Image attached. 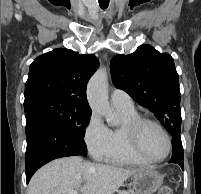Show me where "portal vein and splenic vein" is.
Returning <instances> with one entry per match:
<instances>
[{"label":"portal vein and splenic vein","mask_w":201,"mask_h":194,"mask_svg":"<svg viewBox=\"0 0 201 194\" xmlns=\"http://www.w3.org/2000/svg\"><path fill=\"white\" fill-rule=\"evenodd\" d=\"M68 194H77V191L76 190H71L68 192Z\"/></svg>","instance_id":"portal-vein-and-splenic-vein-1"}]
</instances>
